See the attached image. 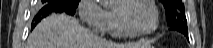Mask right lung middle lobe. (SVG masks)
I'll list each match as a JSON object with an SVG mask.
<instances>
[{
  "instance_id": "obj_1",
  "label": "right lung middle lobe",
  "mask_w": 213,
  "mask_h": 48,
  "mask_svg": "<svg viewBox=\"0 0 213 48\" xmlns=\"http://www.w3.org/2000/svg\"><path fill=\"white\" fill-rule=\"evenodd\" d=\"M79 1L80 0H42V3L45 5L47 4L58 5L73 15L75 13Z\"/></svg>"
}]
</instances>
